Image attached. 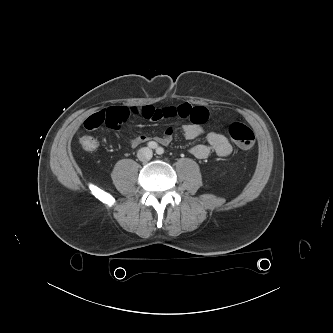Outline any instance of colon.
<instances>
[{
	"label": "colon",
	"mask_w": 333,
	"mask_h": 333,
	"mask_svg": "<svg viewBox=\"0 0 333 333\" xmlns=\"http://www.w3.org/2000/svg\"><path fill=\"white\" fill-rule=\"evenodd\" d=\"M228 134L238 147L244 150L251 149L255 144L254 132L245 124L233 122L228 126ZM81 147L85 151H94L98 147L97 140L89 135L82 136L79 139Z\"/></svg>",
	"instance_id": "5ec220e1"
}]
</instances>
